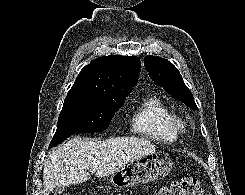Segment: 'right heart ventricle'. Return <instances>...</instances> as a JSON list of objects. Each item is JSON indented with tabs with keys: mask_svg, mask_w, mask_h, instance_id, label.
Returning <instances> with one entry per match:
<instances>
[{
	"mask_svg": "<svg viewBox=\"0 0 245 195\" xmlns=\"http://www.w3.org/2000/svg\"><path fill=\"white\" fill-rule=\"evenodd\" d=\"M172 115L169 108L159 98H143L130 113L128 121L130 132L159 142H173L177 134L169 126Z\"/></svg>",
	"mask_w": 245,
	"mask_h": 195,
	"instance_id": "1",
	"label": "right heart ventricle"
}]
</instances>
